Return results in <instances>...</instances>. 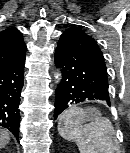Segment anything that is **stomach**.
Listing matches in <instances>:
<instances>
[{
	"label": "stomach",
	"mask_w": 130,
	"mask_h": 153,
	"mask_svg": "<svg viewBox=\"0 0 130 153\" xmlns=\"http://www.w3.org/2000/svg\"><path fill=\"white\" fill-rule=\"evenodd\" d=\"M87 113V121H93L95 117L101 116V114L94 108L85 109Z\"/></svg>",
	"instance_id": "1"
}]
</instances>
